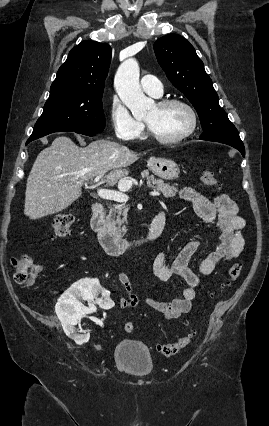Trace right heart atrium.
Wrapping results in <instances>:
<instances>
[{"instance_id": "right-heart-atrium-1", "label": "right heart atrium", "mask_w": 269, "mask_h": 426, "mask_svg": "<svg viewBox=\"0 0 269 426\" xmlns=\"http://www.w3.org/2000/svg\"><path fill=\"white\" fill-rule=\"evenodd\" d=\"M110 120L115 134L125 140H135L144 133V125L136 120L117 98L110 103Z\"/></svg>"}]
</instances>
